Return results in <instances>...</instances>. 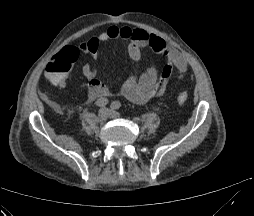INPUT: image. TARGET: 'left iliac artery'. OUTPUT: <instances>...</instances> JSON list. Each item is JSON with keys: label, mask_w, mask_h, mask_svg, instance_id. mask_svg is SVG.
<instances>
[{"label": "left iliac artery", "mask_w": 254, "mask_h": 216, "mask_svg": "<svg viewBox=\"0 0 254 216\" xmlns=\"http://www.w3.org/2000/svg\"><path fill=\"white\" fill-rule=\"evenodd\" d=\"M110 107L112 109L117 110V109H119L121 107V103L119 101H114V102L111 103Z\"/></svg>", "instance_id": "left-iliac-artery-1"}]
</instances>
